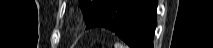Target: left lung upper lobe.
<instances>
[{"mask_svg": "<svg viewBox=\"0 0 213 48\" xmlns=\"http://www.w3.org/2000/svg\"><path fill=\"white\" fill-rule=\"evenodd\" d=\"M110 0H79L84 13V19L88 22Z\"/></svg>", "mask_w": 213, "mask_h": 48, "instance_id": "left-lung-upper-lobe-1", "label": "left lung upper lobe"}]
</instances>
